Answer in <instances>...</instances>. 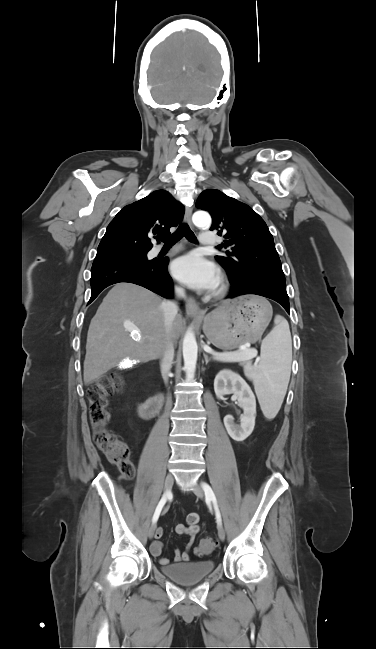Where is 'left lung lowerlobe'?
Returning a JSON list of instances; mask_svg holds the SVG:
<instances>
[{
	"label": "left lung lower lobe",
	"instance_id": "0a47b994",
	"mask_svg": "<svg viewBox=\"0 0 376 649\" xmlns=\"http://www.w3.org/2000/svg\"><path fill=\"white\" fill-rule=\"evenodd\" d=\"M247 294L270 298L281 304L287 313L290 314L286 284L277 279L261 273H250L243 281L234 283V290L227 298H235Z\"/></svg>",
	"mask_w": 376,
	"mask_h": 649
}]
</instances>
